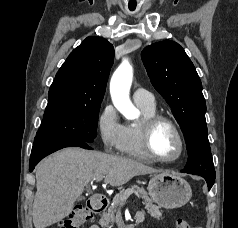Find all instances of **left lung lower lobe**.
I'll return each instance as SVG.
<instances>
[{
    "label": "left lung lower lobe",
    "mask_w": 238,
    "mask_h": 228,
    "mask_svg": "<svg viewBox=\"0 0 238 228\" xmlns=\"http://www.w3.org/2000/svg\"><path fill=\"white\" fill-rule=\"evenodd\" d=\"M182 172H186V173H189V174H195V175H199V176L203 177L207 182L208 189H210L214 184L215 177H212L210 175H206V174L198 173V172H187L184 169L182 170Z\"/></svg>",
    "instance_id": "obj_1"
}]
</instances>
